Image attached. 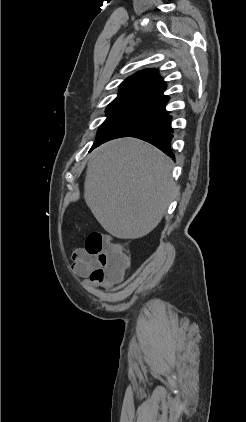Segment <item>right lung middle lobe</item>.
<instances>
[{
    "label": "right lung middle lobe",
    "instance_id": "dd1d6c3e",
    "mask_svg": "<svg viewBox=\"0 0 246 422\" xmlns=\"http://www.w3.org/2000/svg\"><path fill=\"white\" fill-rule=\"evenodd\" d=\"M106 114L107 119L99 127L92 149L109 140L131 135L159 119L163 110L108 107Z\"/></svg>",
    "mask_w": 246,
    "mask_h": 422
}]
</instances>
